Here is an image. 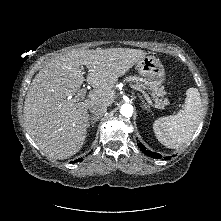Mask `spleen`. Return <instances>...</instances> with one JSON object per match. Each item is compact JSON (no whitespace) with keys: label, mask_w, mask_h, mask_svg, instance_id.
<instances>
[{"label":"spleen","mask_w":221,"mask_h":221,"mask_svg":"<svg viewBox=\"0 0 221 221\" xmlns=\"http://www.w3.org/2000/svg\"><path fill=\"white\" fill-rule=\"evenodd\" d=\"M202 111V102L197 88H188L184 110L176 115L161 117L153 123L158 141L171 149L186 144L196 131Z\"/></svg>","instance_id":"obj_1"}]
</instances>
